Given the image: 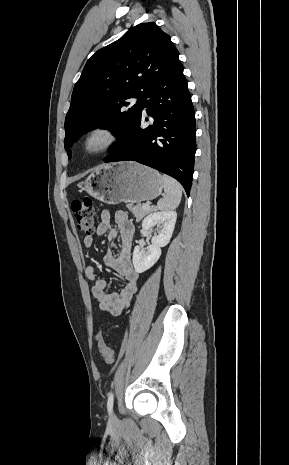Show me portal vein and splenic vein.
<instances>
[{
  "label": "portal vein and splenic vein",
  "instance_id": "obj_1",
  "mask_svg": "<svg viewBox=\"0 0 289 465\" xmlns=\"http://www.w3.org/2000/svg\"><path fill=\"white\" fill-rule=\"evenodd\" d=\"M143 208H144V209H149V204H148V203L143 204Z\"/></svg>",
  "mask_w": 289,
  "mask_h": 465
}]
</instances>
